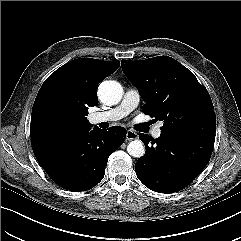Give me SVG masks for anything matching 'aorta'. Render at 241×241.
Instances as JSON below:
<instances>
[{"mask_svg": "<svg viewBox=\"0 0 241 241\" xmlns=\"http://www.w3.org/2000/svg\"><path fill=\"white\" fill-rule=\"evenodd\" d=\"M122 86L116 81H103L98 87V95L102 102L114 105L122 98ZM129 155L140 158L145 154V147L140 140L131 141L127 146Z\"/></svg>", "mask_w": 241, "mask_h": 241, "instance_id": "aorta-1", "label": "aorta"}]
</instances>
